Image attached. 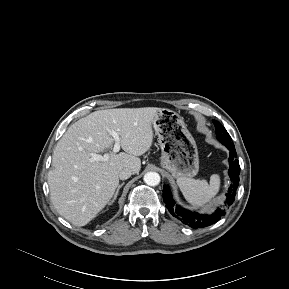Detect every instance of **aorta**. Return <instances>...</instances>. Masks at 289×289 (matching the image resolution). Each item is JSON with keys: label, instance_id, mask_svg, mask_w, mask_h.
Wrapping results in <instances>:
<instances>
[{"label": "aorta", "instance_id": "aorta-1", "mask_svg": "<svg viewBox=\"0 0 289 289\" xmlns=\"http://www.w3.org/2000/svg\"><path fill=\"white\" fill-rule=\"evenodd\" d=\"M144 182L149 186H156L160 183V175L156 172H147L144 175Z\"/></svg>", "mask_w": 289, "mask_h": 289}]
</instances>
